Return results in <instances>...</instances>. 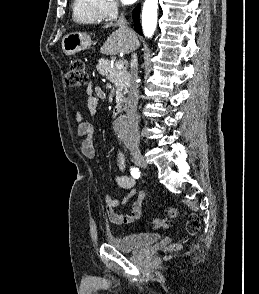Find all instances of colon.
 <instances>
[{"mask_svg": "<svg viewBox=\"0 0 259 294\" xmlns=\"http://www.w3.org/2000/svg\"><path fill=\"white\" fill-rule=\"evenodd\" d=\"M87 73L84 63L81 60H73L69 64L68 71L65 75V82L69 87H81L87 83ZM166 214L170 218L177 216V209L175 207L166 208ZM155 228L168 229L172 226V223L166 219L156 218L152 221ZM200 228V221L196 215H191L187 222V231L189 234L194 235ZM179 246L173 244L169 246L168 250H177Z\"/></svg>", "mask_w": 259, "mask_h": 294, "instance_id": "obj_1", "label": "colon"}]
</instances>
